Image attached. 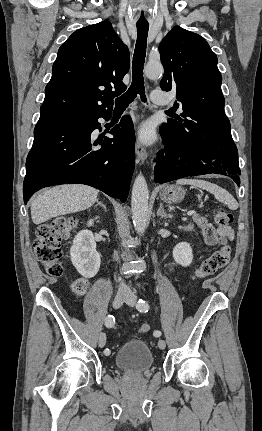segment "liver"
<instances>
[{
  "label": "liver",
  "instance_id": "6515ba94",
  "mask_svg": "<svg viewBox=\"0 0 262 431\" xmlns=\"http://www.w3.org/2000/svg\"><path fill=\"white\" fill-rule=\"evenodd\" d=\"M98 191L90 186L70 184L47 189L31 200V218L38 225L51 218L76 213L97 201Z\"/></svg>",
  "mask_w": 262,
  "mask_h": 431
}]
</instances>
